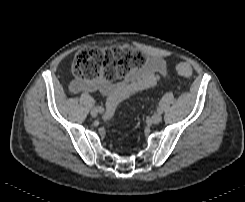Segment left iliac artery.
Instances as JSON below:
<instances>
[{"mask_svg": "<svg viewBox=\"0 0 245 202\" xmlns=\"http://www.w3.org/2000/svg\"><path fill=\"white\" fill-rule=\"evenodd\" d=\"M157 111H158V113H160V114L162 113V110H161V108H159V107L157 108Z\"/></svg>", "mask_w": 245, "mask_h": 202, "instance_id": "obj_1", "label": "left iliac artery"}]
</instances>
